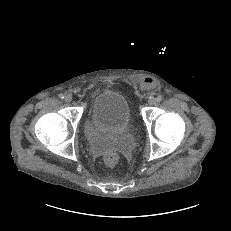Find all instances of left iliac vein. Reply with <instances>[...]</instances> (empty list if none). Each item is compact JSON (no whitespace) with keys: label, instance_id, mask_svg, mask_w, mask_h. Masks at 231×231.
Here are the masks:
<instances>
[{"label":"left iliac vein","instance_id":"4c4485c4","mask_svg":"<svg viewBox=\"0 0 231 231\" xmlns=\"http://www.w3.org/2000/svg\"><path fill=\"white\" fill-rule=\"evenodd\" d=\"M148 104H149L150 106L155 105V104H156V99L153 98V97H151V98L148 100Z\"/></svg>","mask_w":231,"mask_h":231}]
</instances>
